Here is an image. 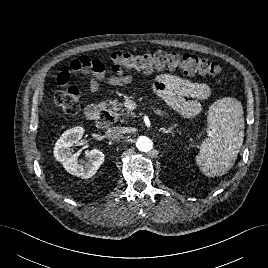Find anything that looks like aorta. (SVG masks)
<instances>
[{"label":"aorta","instance_id":"obj_1","mask_svg":"<svg viewBox=\"0 0 268 268\" xmlns=\"http://www.w3.org/2000/svg\"><path fill=\"white\" fill-rule=\"evenodd\" d=\"M136 147L141 152H148L153 148V142L146 136H139L136 139Z\"/></svg>","mask_w":268,"mask_h":268}]
</instances>
